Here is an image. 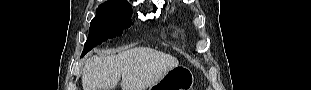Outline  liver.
<instances>
[{
    "instance_id": "obj_1",
    "label": "liver",
    "mask_w": 311,
    "mask_h": 90,
    "mask_svg": "<svg viewBox=\"0 0 311 90\" xmlns=\"http://www.w3.org/2000/svg\"><path fill=\"white\" fill-rule=\"evenodd\" d=\"M178 60L151 48L136 47L111 56H92L85 62L83 90H113L122 77V90H146Z\"/></svg>"
}]
</instances>
